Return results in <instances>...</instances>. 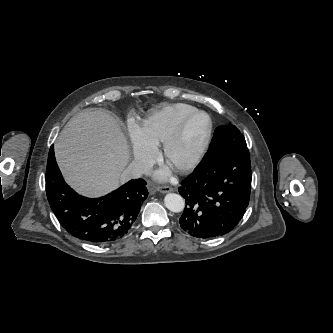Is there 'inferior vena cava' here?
<instances>
[{"instance_id":"obj_1","label":"inferior vena cava","mask_w":333,"mask_h":333,"mask_svg":"<svg viewBox=\"0 0 333 333\" xmlns=\"http://www.w3.org/2000/svg\"><path fill=\"white\" fill-rule=\"evenodd\" d=\"M150 167L141 162L134 160L130 163V165L122 172L121 180L127 181L129 179L140 178L143 174L148 173Z\"/></svg>"}]
</instances>
